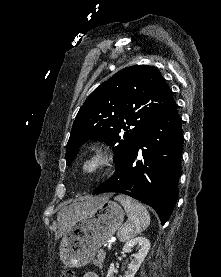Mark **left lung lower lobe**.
Wrapping results in <instances>:
<instances>
[{
	"mask_svg": "<svg viewBox=\"0 0 221 277\" xmlns=\"http://www.w3.org/2000/svg\"><path fill=\"white\" fill-rule=\"evenodd\" d=\"M182 147L181 120L174 101L147 126L113 176L93 194L131 196L153 207L164 225L176 204Z\"/></svg>",
	"mask_w": 221,
	"mask_h": 277,
	"instance_id": "left-lung-lower-lobe-1",
	"label": "left lung lower lobe"
}]
</instances>
